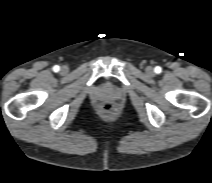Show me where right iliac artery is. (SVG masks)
<instances>
[{
    "mask_svg": "<svg viewBox=\"0 0 212 183\" xmlns=\"http://www.w3.org/2000/svg\"><path fill=\"white\" fill-rule=\"evenodd\" d=\"M60 70V67L58 66V65H55L54 67H53V71L54 72H58Z\"/></svg>",
    "mask_w": 212,
    "mask_h": 183,
    "instance_id": "obj_1",
    "label": "right iliac artery"
}]
</instances>
